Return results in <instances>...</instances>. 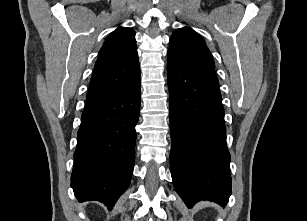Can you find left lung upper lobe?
Instances as JSON below:
<instances>
[{
  "instance_id": "1",
  "label": "left lung upper lobe",
  "mask_w": 307,
  "mask_h": 221,
  "mask_svg": "<svg viewBox=\"0 0 307 221\" xmlns=\"http://www.w3.org/2000/svg\"><path fill=\"white\" fill-rule=\"evenodd\" d=\"M168 54L191 72L219 88L215 64L203 38L188 27L176 29L169 42Z\"/></svg>"
}]
</instances>
